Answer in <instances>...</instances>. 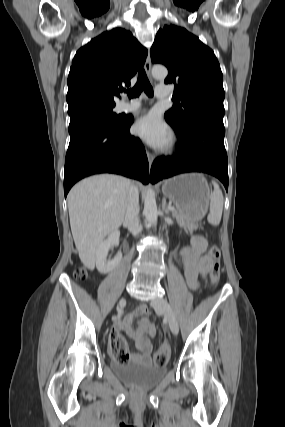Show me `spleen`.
I'll use <instances>...</instances> for the list:
<instances>
[{
	"label": "spleen",
	"mask_w": 285,
	"mask_h": 427,
	"mask_svg": "<svg viewBox=\"0 0 285 427\" xmlns=\"http://www.w3.org/2000/svg\"><path fill=\"white\" fill-rule=\"evenodd\" d=\"M214 190L210 197V212L207 220L210 224L217 226L220 224L223 211V194L219 185L213 182Z\"/></svg>",
	"instance_id": "3e777b00"
}]
</instances>
